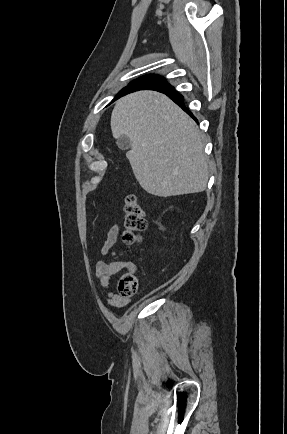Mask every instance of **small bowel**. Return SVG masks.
Here are the masks:
<instances>
[{
	"mask_svg": "<svg viewBox=\"0 0 287 434\" xmlns=\"http://www.w3.org/2000/svg\"><path fill=\"white\" fill-rule=\"evenodd\" d=\"M118 234V225H112L109 228L106 234V238L101 246V253L103 255H108L110 253V251L117 242ZM122 270L133 272L135 268L133 264L122 259L112 261H98L95 266L97 282L103 289V296L105 297L108 304L112 307L125 306L130 302L129 298H122L111 291V278Z\"/></svg>",
	"mask_w": 287,
	"mask_h": 434,
	"instance_id": "obj_1",
	"label": "small bowel"
}]
</instances>
